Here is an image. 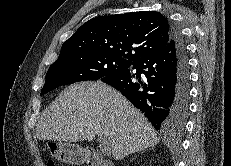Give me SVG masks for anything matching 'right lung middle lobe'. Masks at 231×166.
<instances>
[{
  "label": "right lung middle lobe",
  "mask_w": 231,
  "mask_h": 166,
  "mask_svg": "<svg viewBox=\"0 0 231 166\" xmlns=\"http://www.w3.org/2000/svg\"><path fill=\"white\" fill-rule=\"evenodd\" d=\"M132 61L95 52L59 57L46 74L41 95L61 85L79 81L99 80L129 68Z\"/></svg>",
  "instance_id": "right-lung-middle-lobe-1"
}]
</instances>
